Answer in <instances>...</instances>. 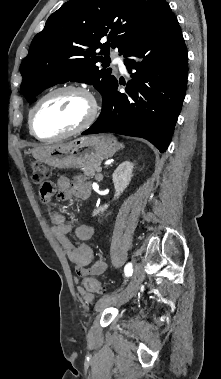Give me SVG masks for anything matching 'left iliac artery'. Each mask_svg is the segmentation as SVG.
<instances>
[{
    "instance_id": "obj_1",
    "label": "left iliac artery",
    "mask_w": 221,
    "mask_h": 379,
    "mask_svg": "<svg viewBox=\"0 0 221 379\" xmlns=\"http://www.w3.org/2000/svg\"><path fill=\"white\" fill-rule=\"evenodd\" d=\"M124 272H125L126 277H129L132 275L133 269H132V263L131 262H129L125 265Z\"/></svg>"
}]
</instances>
